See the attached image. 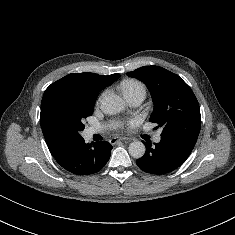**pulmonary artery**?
<instances>
[{
	"mask_svg": "<svg viewBox=\"0 0 235 235\" xmlns=\"http://www.w3.org/2000/svg\"><path fill=\"white\" fill-rule=\"evenodd\" d=\"M145 97H146V92L142 88L134 89L125 93V98L131 106L140 105L144 101ZM100 131L101 128L99 127H89L86 130V135L92 136L93 134L98 133ZM153 140L155 143H159L161 141L160 133L155 135Z\"/></svg>",
	"mask_w": 235,
	"mask_h": 235,
	"instance_id": "e3ab8cb5",
	"label": "pulmonary artery"
}]
</instances>
